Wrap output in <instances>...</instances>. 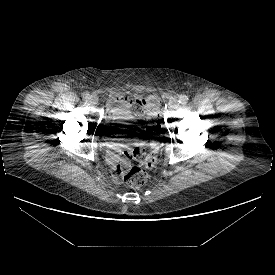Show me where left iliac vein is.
Masks as SVG:
<instances>
[{"mask_svg":"<svg viewBox=\"0 0 275 275\" xmlns=\"http://www.w3.org/2000/svg\"><path fill=\"white\" fill-rule=\"evenodd\" d=\"M179 106V103L176 99H171L168 103V106L166 108V112H172L176 110Z\"/></svg>","mask_w":275,"mask_h":275,"instance_id":"4c4485c4","label":"left iliac vein"}]
</instances>
